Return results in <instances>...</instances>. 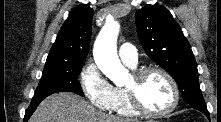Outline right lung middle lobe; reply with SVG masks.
Instances as JSON below:
<instances>
[{
  "label": "right lung middle lobe",
  "mask_w": 221,
  "mask_h": 122,
  "mask_svg": "<svg viewBox=\"0 0 221 122\" xmlns=\"http://www.w3.org/2000/svg\"><path fill=\"white\" fill-rule=\"evenodd\" d=\"M84 62L46 63L32 101H40L56 92H73L84 96L77 80Z\"/></svg>",
  "instance_id": "1"
}]
</instances>
